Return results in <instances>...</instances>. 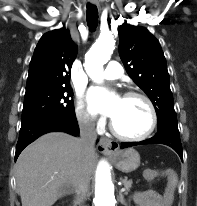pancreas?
<instances>
[{"label": "pancreas", "instance_id": "cf45deb5", "mask_svg": "<svg viewBox=\"0 0 197 206\" xmlns=\"http://www.w3.org/2000/svg\"><path fill=\"white\" fill-rule=\"evenodd\" d=\"M121 181L125 187V191H126L125 193L127 194L130 191V188L132 187L133 182L132 180H128L127 177L121 179Z\"/></svg>", "mask_w": 197, "mask_h": 206}]
</instances>
